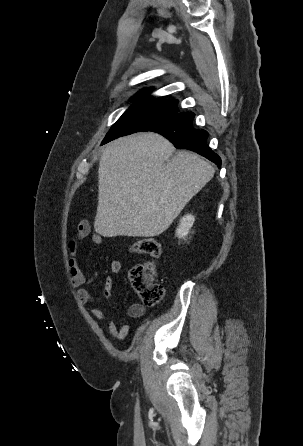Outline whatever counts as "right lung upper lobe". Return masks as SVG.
I'll use <instances>...</instances> for the list:
<instances>
[{
  "mask_svg": "<svg viewBox=\"0 0 303 446\" xmlns=\"http://www.w3.org/2000/svg\"><path fill=\"white\" fill-rule=\"evenodd\" d=\"M151 89H144L138 92L132 100L135 103L130 108H144L150 110H161L165 108L171 100L167 99H154L152 96H148Z\"/></svg>",
  "mask_w": 303,
  "mask_h": 446,
  "instance_id": "right-lung-upper-lobe-1",
  "label": "right lung upper lobe"
}]
</instances>
